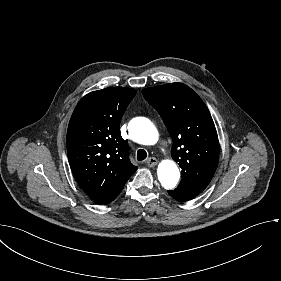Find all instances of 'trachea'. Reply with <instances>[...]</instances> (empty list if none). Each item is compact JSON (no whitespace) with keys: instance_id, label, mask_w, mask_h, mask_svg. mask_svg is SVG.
<instances>
[{"instance_id":"trachea-1","label":"trachea","mask_w":281,"mask_h":281,"mask_svg":"<svg viewBox=\"0 0 281 281\" xmlns=\"http://www.w3.org/2000/svg\"><path fill=\"white\" fill-rule=\"evenodd\" d=\"M146 158H147V153H146V151L143 150V149H139V150L137 151V160H138V161H143V160H145Z\"/></svg>"}]
</instances>
